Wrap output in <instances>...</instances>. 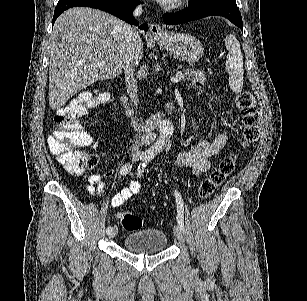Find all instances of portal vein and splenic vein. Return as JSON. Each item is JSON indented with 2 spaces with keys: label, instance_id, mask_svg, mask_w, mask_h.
<instances>
[{
  "label": "portal vein and splenic vein",
  "instance_id": "obj_1",
  "mask_svg": "<svg viewBox=\"0 0 307 301\" xmlns=\"http://www.w3.org/2000/svg\"><path fill=\"white\" fill-rule=\"evenodd\" d=\"M180 78H182V72H177L174 78H171L172 82H179Z\"/></svg>",
  "mask_w": 307,
  "mask_h": 301
}]
</instances>
